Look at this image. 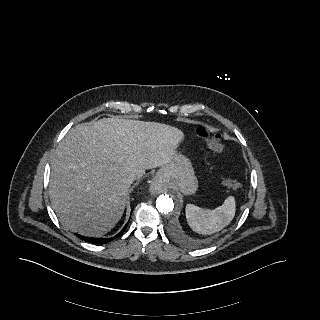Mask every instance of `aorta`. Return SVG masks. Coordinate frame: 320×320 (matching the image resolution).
<instances>
[{"instance_id": "1", "label": "aorta", "mask_w": 320, "mask_h": 320, "mask_svg": "<svg viewBox=\"0 0 320 320\" xmlns=\"http://www.w3.org/2000/svg\"><path fill=\"white\" fill-rule=\"evenodd\" d=\"M174 198L170 194H162L156 200L159 213L169 214L174 210Z\"/></svg>"}]
</instances>
